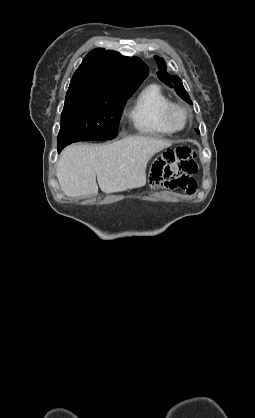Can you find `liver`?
Masks as SVG:
<instances>
[{
    "mask_svg": "<svg viewBox=\"0 0 255 418\" xmlns=\"http://www.w3.org/2000/svg\"><path fill=\"white\" fill-rule=\"evenodd\" d=\"M164 139L127 137L108 145L74 144L64 149L56 174L62 192L69 197L122 192L146 184L151 157L170 147Z\"/></svg>",
    "mask_w": 255,
    "mask_h": 418,
    "instance_id": "6515ba94",
    "label": "liver"
}]
</instances>
